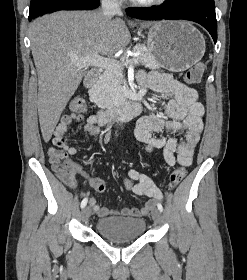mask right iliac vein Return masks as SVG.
Returning <instances> with one entry per match:
<instances>
[{
    "instance_id": "63e3f726",
    "label": "right iliac vein",
    "mask_w": 247,
    "mask_h": 280,
    "mask_svg": "<svg viewBox=\"0 0 247 280\" xmlns=\"http://www.w3.org/2000/svg\"><path fill=\"white\" fill-rule=\"evenodd\" d=\"M81 214L83 221H87L91 215V209L88 206L84 207Z\"/></svg>"
}]
</instances>
